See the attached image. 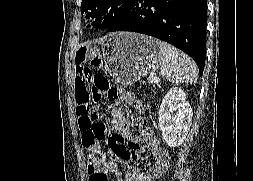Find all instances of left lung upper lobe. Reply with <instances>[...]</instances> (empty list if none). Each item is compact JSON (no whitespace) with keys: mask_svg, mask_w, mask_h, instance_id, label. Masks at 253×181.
Segmentation results:
<instances>
[{"mask_svg":"<svg viewBox=\"0 0 253 181\" xmlns=\"http://www.w3.org/2000/svg\"><path fill=\"white\" fill-rule=\"evenodd\" d=\"M133 0H82L81 13L95 18L92 23L98 29H109L128 12Z\"/></svg>","mask_w":253,"mask_h":181,"instance_id":"5c2ea615","label":"left lung upper lobe"}]
</instances>
